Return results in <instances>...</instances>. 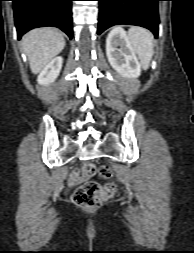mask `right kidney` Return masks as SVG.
<instances>
[{
    "label": "right kidney",
    "instance_id": "1",
    "mask_svg": "<svg viewBox=\"0 0 194 253\" xmlns=\"http://www.w3.org/2000/svg\"><path fill=\"white\" fill-rule=\"evenodd\" d=\"M63 58H54L46 67L41 71L37 78V82L40 85H48L55 81L58 77L60 70L62 68Z\"/></svg>",
    "mask_w": 194,
    "mask_h": 253
}]
</instances>
